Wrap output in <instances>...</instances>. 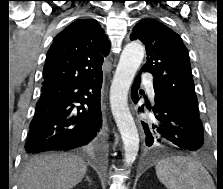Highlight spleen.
<instances>
[{
    "label": "spleen",
    "instance_id": "3e777b00",
    "mask_svg": "<svg viewBox=\"0 0 223 189\" xmlns=\"http://www.w3.org/2000/svg\"><path fill=\"white\" fill-rule=\"evenodd\" d=\"M159 181L167 189H214V183L202 164L192 158L174 156L155 167Z\"/></svg>",
    "mask_w": 223,
    "mask_h": 189
}]
</instances>
